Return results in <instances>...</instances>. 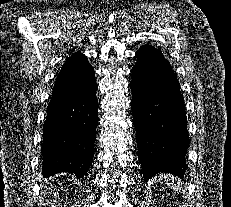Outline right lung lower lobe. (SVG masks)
<instances>
[{"label":"right lung lower lobe","mask_w":231,"mask_h":207,"mask_svg":"<svg viewBox=\"0 0 231 207\" xmlns=\"http://www.w3.org/2000/svg\"><path fill=\"white\" fill-rule=\"evenodd\" d=\"M97 84L88 60L63 65L54 84L43 125L44 176L86 175L93 161L98 123Z\"/></svg>","instance_id":"obj_1"}]
</instances>
